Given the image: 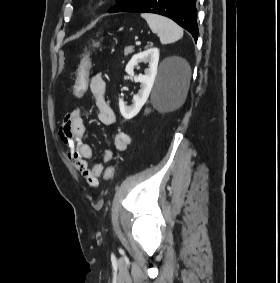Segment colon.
<instances>
[{
	"label": "colon",
	"mask_w": 280,
	"mask_h": 283,
	"mask_svg": "<svg viewBox=\"0 0 280 283\" xmlns=\"http://www.w3.org/2000/svg\"><path fill=\"white\" fill-rule=\"evenodd\" d=\"M98 47L96 42L89 44L83 51L81 56V70L77 74V79L72 87V95L75 96V99H84V96L87 95V92H90L89 82L91 70H87L93 51ZM114 176L113 166H109L106 171V179L111 180Z\"/></svg>",
	"instance_id": "5ec220e1"
}]
</instances>
